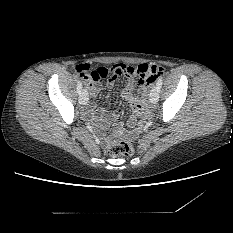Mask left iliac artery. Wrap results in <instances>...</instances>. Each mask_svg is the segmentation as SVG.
I'll return each mask as SVG.
<instances>
[{
  "label": "left iliac artery",
  "mask_w": 233,
  "mask_h": 233,
  "mask_svg": "<svg viewBox=\"0 0 233 233\" xmlns=\"http://www.w3.org/2000/svg\"><path fill=\"white\" fill-rule=\"evenodd\" d=\"M157 89L160 91V88H161V86H162V77L161 78H159V80L157 81Z\"/></svg>",
  "instance_id": "obj_1"
}]
</instances>
